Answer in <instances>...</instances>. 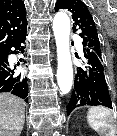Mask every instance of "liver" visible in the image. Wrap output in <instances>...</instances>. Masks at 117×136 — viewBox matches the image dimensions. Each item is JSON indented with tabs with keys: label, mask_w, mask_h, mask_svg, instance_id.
Listing matches in <instances>:
<instances>
[{
	"label": "liver",
	"mask_w": 117,
	"mask_h": 136,
	"mask_svg": "<svg viewBox=\"0 0 117 136\" xmlns=\"http://www.w3.org/2000/svg\"><path fill=\"white\" fill-rule=\"evenodd\" d=\"M25 122V102L0 93V136H20Z\"/></svg>",
	"instance_id": "obj_1"
}]
</instances>
